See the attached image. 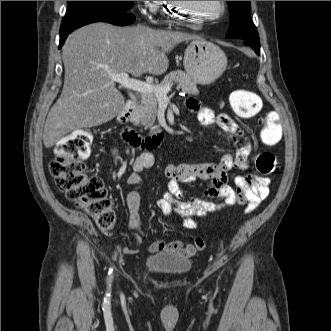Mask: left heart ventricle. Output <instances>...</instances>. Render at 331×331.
I'll use <instances>...</instances> for the list:
<instances>
[{
    "mask_svg": "<svg viewBox=\"0 0 331 331\" xmlns=\"http://www.w3.org/2000/svg\"><path fill=\"white\" fill-rule=\"evenodd\" d=\"M187 18H206L215 15L219 10V1H186Z\"/></svg>",
    "mask_w": 331,
    "mask_h": 331,
    "instance_id": "obj_1",
    "label": "left heart ventricle"
}]
</instances>
